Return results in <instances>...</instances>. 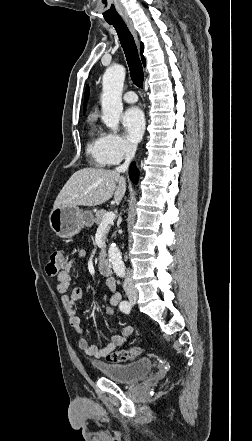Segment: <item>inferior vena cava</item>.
Returning <instances> with one entry per match:
<instances>
[{
	"instance_id": "obj_1",
	"label": "inferior vena cava",
	"mask_w": 252,
	"mask_h": 441,
	"mask_svg": "<svg viewBox=\"0 0 252 441\" xmlns=\"http://www.w3.org/2000/svg\"><path fill=\"white\" fill-rule=\"evenodd\" d=\"M135 151H136L135 148H133L131 146H128L126 148V150H125V162L115 169L116 172L124 173V172H126L128 170V167H129L132 159L135 156ZM123 288H124L125 291H132L134 293L136 292V289L134 287V284H133V281H132V278L130 276L129 271L126 274V277H125V280H124V283H123Z\"/></svg>"
}]
</instances>
